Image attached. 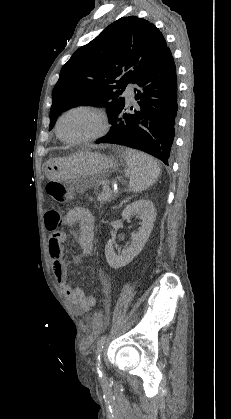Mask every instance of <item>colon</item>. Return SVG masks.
<instances>
[{
  "label": "colon",
  "instance_id": "5ec220e1",
  "mask_svg": "<svg viewBox=\"0 0 231 419\" xmlns=\"http://www.w3.org/2000/svg\"><path fill=\"white\" fill-rule=\"evenodd\" d=\"M47 193L52 199L59 205H66L71 198V190L64 183L51 182L46 186ZM102 330V321L100 313L96 312L92 320V332L91 335L85 341V345H89L97 339Z\"/></svg>",
  "mask_w": 231,
  "mask_h": 419
}]
</instances>
